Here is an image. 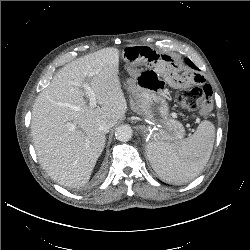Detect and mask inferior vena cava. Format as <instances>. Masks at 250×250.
I'll return each mask as SVG.
<instances>
[{
    "mask_svg": "<svg viewBox=\"0 0 250 250\" xmlns=\"http://www.w3.org/2000/svg\"><path fill=\"white\" fill-rule=\"evenodd\" d=\"M110 127H111V125L104 121L101 124H99L98 129H99V131H101L103 133H108Z\"/></svg>",
    "mask_w": 250,
    "mask_h": 250,
    "instance_id": "602c4592",
    "label": "inferior vena cava"
}]
</instances>
